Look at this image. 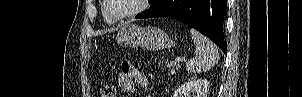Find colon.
Segmentation results:
<instances>
[{
	"instance_id": "5ec220e1",
	"label": "colon",
	"mask_w": 302,
	"mask_h": 97,
	"mask_svg": "<svg viewBox=\"0 0 302 97\" xmlns=\"http://www.w3.org/2000/svg\"><path fill=\"white\" fill-rule=\"evenodd\" d=\"M114 88L109 85H104L100 88L99 97H114Z\"/></svg>"
}]
</instances>
